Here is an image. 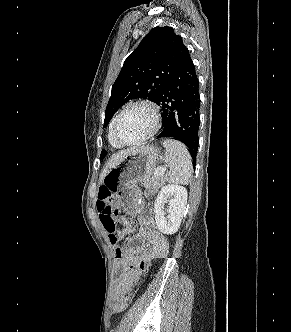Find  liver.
I'll return each instance as SVG.
<instances>
[{
	"label": "liver",
	"instance_id": "1",
	"mask_svg": "<svg viewBox=\"0 0 291 332\" xmlns=\"http://www.w3.org/2000/svg\"><path fill=\"white\" fill-rule=\"evenodd\" d=\"M135 148H130V149H127V150H121L119 152H117L116 154H114L109 160L108 162L106 163L104 169L102 170L101 172V175H100V184L103 182V179L105 178V176L107 175V173L109 172V170L113 167H115L119 161L125 156L127 155L128 153L132 152Z\"/></svg>",
	"mask_w": 291,
	"mask_h": 332
}]
</instances>
